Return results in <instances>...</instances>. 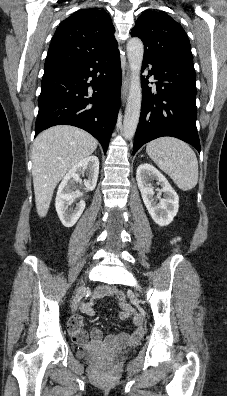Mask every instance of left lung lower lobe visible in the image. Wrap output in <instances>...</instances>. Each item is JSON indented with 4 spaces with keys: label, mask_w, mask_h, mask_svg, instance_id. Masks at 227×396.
Masks as SVG:
<instances>
[{
    "label": "left lung lower lobe",
    "mask_w": 227,
    "mask_h": 396,
    "mask_svg": "<svg viewBox=\"0 0 227 396\" xmlns=\"http://www.w3.org/2000/svg\"><path fill=\"white\" fill-rule=\"evenodd\" d=\"M149 64L157 81L156 90L142 78L141 116L135 134L133 155L145 143L163 136L181 139L200 152L196 128V78L194 67L177 61L144 55L142 70Z\"/></svg>",
    "instance_id": "obj_1"
}]
</instances>
